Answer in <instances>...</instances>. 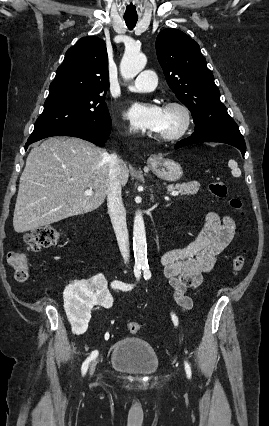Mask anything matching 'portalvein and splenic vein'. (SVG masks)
I'll return each mask as SVG.
<instances>
[{
  "label": "portal vein and splenic vein",
  "mask_w": 269,
  "mask_h": 426,
  "mask_svg": "<svg viewBox=\"0 0 269 426\" xmlns=\"http://www.w3.org/2000/svg\"><path fill=\"white\" fill-rule=\"evenodd\" d=\"M84 194L85 195H87V196H90V195H93V191L91 190V189H89V190H86L85 192H84ZM172 196H177L178 194H179V192H177V191H171V193H170Z\"/></svg>",
  "instance_id": "obj_1"
}]
</instances>
